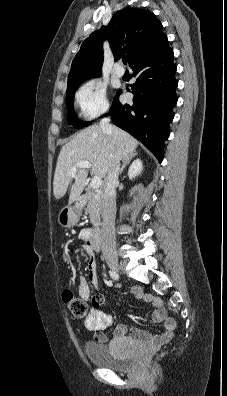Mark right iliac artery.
Segmentation results:
<instances>
[{
	"label": "right iliac artery",
	"instance_id": "right-iliac-artery-1",
	"mask_svg": "<svg viewBox=\"0 0 227 396\" xmlns=\"http://www.w3.org/2000/svg\"><path fill=\"white\" fill-rule=\"evenodd\" d=\"M109 275H110V277H111L112 279H114V280H118V279H119L118 273L115 272V271H113V270H110V271H109Z\"/></svg>",
	"mask_w": 227,
	"mask_h": 396
}]
</instances>
